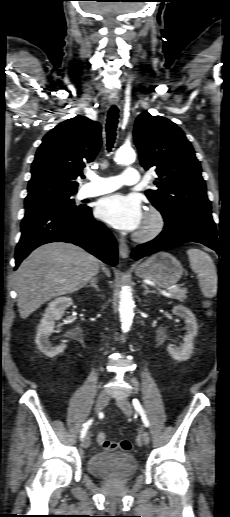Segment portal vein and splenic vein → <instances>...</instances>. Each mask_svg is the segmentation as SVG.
Segmentation results:
<instances>
[{
	"label": "portal vein and splenic vein",
	"mask_w": 230,
	"mask_h": 517,
	"mask_svg": "<svg viewBox=\"0 0 230 517\" xmlns=\"http://www.w3.org/2000/svg\"><path fill=\"white\" fill-rule=\"evenodd\" d=\"M179 290L178 286H174L172 289H170L167 293H165L166 296H171L173 293Z\"/></svg>",
	"instance_id": "obj_1"
}]
</instances>
